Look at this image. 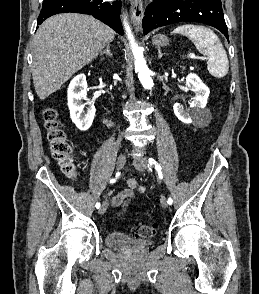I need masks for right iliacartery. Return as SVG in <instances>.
Here are the masks:
<instances>
[{"label":"right iliac artery","mask_w":259,"mask_h":294,"mask_svg":"<svg viewBox=\"0 0 259 294\" xmlns=\"http://www.w3.org/2000/svg\"><path fill=\"white\" fill-rule=\"evenodd\" d=\"M119 175H120V173H117V176H119ZM115 181H116V179H111V180H110V183H114ZM95 206H96V208L98 209V208L100 207V203L97 202Z\"/></svg>","instance_id":"1"}]
</instances>
